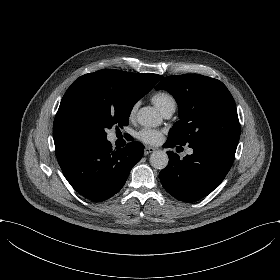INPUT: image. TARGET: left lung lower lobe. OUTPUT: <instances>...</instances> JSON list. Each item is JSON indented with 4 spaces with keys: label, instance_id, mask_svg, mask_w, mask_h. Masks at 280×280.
Masks as SVG:
<instances>
[{
    "label": "left lung lower lobe",
    "instance_id": "1",
    "mask_svg": "<svg viewBox=\"0 0 280 280\" xmlns=\"http://www.w3.org/2000/svg\"><path fill=\"white\" fill-rule=\"evenodd\" d=\"M238 143L202 142L189 144L194 152L180 159L168 151V166L159 173L165 190L184 202H194L211 193L223 181L234 161ZM167 147L181 145L168 138Z\"/></svg>",
    "mask_w": 280,
    "mask_h": 280
}]
</instances>
